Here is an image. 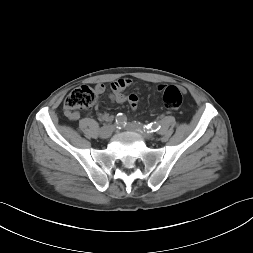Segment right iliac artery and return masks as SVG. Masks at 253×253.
I'll list each match as a JSON object with an SVG mask.
<instances>
[{
    "label": "right iliac artery",
    "mask_w": 253,
    "mask_h": 253,
    "mask_svg": "<svg viewBox=\"0 0 253 253\" xmlns=\"http://www.w3.org/2000/svg\"><path fill=\"white\" fill-rule=\"evenodd\" d=\"M127 118L125 115L122 113H118L116 118H115V123L117 125V128H121L126 125Z\"/></svg>",
    "instance_id": "1"
}]
</instances>
